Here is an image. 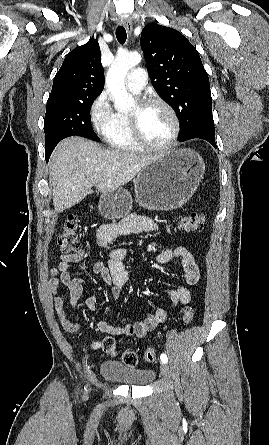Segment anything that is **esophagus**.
I'll list each match as a JSON object with an SVG mask.
<instances>
[{
	"instance_id": "1",
	"label": "esophagus",
	"mask_w": 269,
	"mask_h": 445,
	"mask_svg": "<svg viewBox=\"0 0 269 445\" xmlns=\"http://www.w3.org/2000/svg\"><path fill=\"white\" fill-rule=\"evenodd\" d=\"M120 25L124 26L129 34L132 33L133 27L132 22L128 19L122 18L119 21Z\"/></svg>"
}]
</instances>
